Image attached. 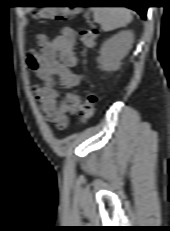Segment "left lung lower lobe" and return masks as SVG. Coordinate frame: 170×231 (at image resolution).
Here are the masks:
<instances>
[{
    "instance_id": "left-lung-lower-lobe-1",
    "label": "left lung lower lobe",
    "mask_w": 170,
    "mask_h": 231,
    "mask_svg": "<svg viewBox=\"0 0 170 231\" xmlns=\"http://www.w3.org/2000/svg\"><path fill=\"white\" fill-rule=\"evenodd\" d=\"M127 3L131 4L127 7L137 11L143 19L146 18L147 6L144 5L143 0H130Z\"/></svg>"
}]
</instances>
